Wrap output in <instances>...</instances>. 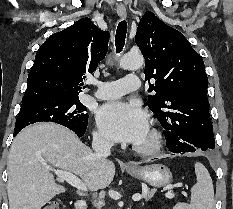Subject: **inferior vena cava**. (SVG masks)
Returning <instances> with one entry per match:
<instances>
[{
  "instance_id": "inferior-vena-cava-1",
  "label": "inferior vena cava",
  "mask_w": 233,
  "mask_h": 209,
  "mask_svg": "<svg viewBox=\"0 0 233 209\" xmlns=\"http://www.w3.org/2000/svg\"><path fill=\"white\" fill-rule=\"evenodd\" d=\"M113 143L101 136H94L92 148L95 154L101 158H107L111 154V147Z\"/></svg>"
}]
</instances>
